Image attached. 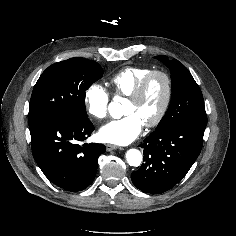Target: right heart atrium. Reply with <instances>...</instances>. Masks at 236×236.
I'll return each mask as SVG.
<instances>
[{
    "mask_svg": "<svg viewBox=\"0 0 236 236\" xmlns=\"http://www.w3.org/2000/svg\"><path fill=\"white\" fill-rule=\"evenodd\" d=\"M110 95L99 83L91 84L84 93V104L88 114L96 119L102 120L108 115Z\"/></svg>",
    "mask_w": 236,
    "mask_h": 236,
    "instance_id": "1",
    "label": "right heart atrium"
}]
</instances>
